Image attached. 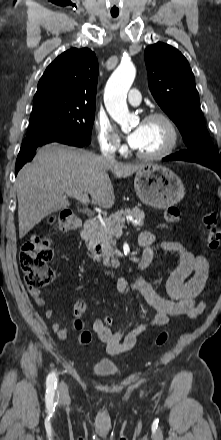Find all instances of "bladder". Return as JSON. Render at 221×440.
I'll use <instances>...</instances> for the list:
<instances>
[{
	"mask_svg": "<svg viewBox=\"0 0 221 440\" xmlns=\"http://www.w3.org/2000/svg\"><path fill=\"white\" fill-rule=\"evenodd\" d=\"M92 371L100 377L108 378L116 375L119 371V367L117 363L112 360L99 359L93 364Z\"/></svg>",
	"mask_w": 221,
	"mask_h": 440,
	"instance_id": "obj_1",
	"label": "bladder"
}]
</instances>
